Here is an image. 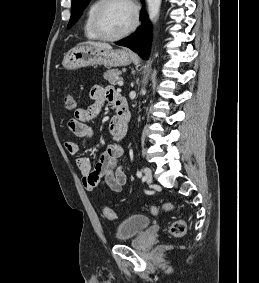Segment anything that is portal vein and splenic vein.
Here are the masks:
<instances>
[{"label":"portal vein and splenic vein","instance_id":"1","mask_svg":"<svg viewBox=\"0 0 259 283\" xmlns=\"http://www.w3.org/2000/svg\"><path fill=\"white\" fill-rule=\"evenodd\" d=\"M118 85H119V86H122V85H123V79H120V80L118 81Z\"/></svg>","mask_w":259,"mask_h":283}]
</instances>
